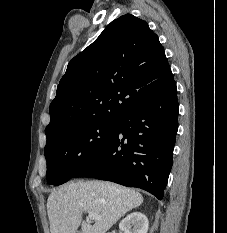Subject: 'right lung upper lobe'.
I'll list each match as a JSON object with an SVG mask.
<instances>
[{"label": "right lung upper lobe", "instance_id": "right-lung-upper-lobe-1", "mask_svg": "<svg viewBox=\"0 0 227 233\" xmlns=\"http://www.w3.org/2000/svg\"><path fill=\"white\" fill-rule=\"evenodd\" d=\"M172 82L158 36L145 21L121 16L69 62L50 104L47 141L89 122L119 120Z\"/></svg>", "mask_w": 227, "mask_h": 233}]
</instances>
